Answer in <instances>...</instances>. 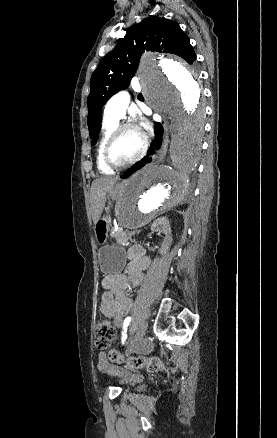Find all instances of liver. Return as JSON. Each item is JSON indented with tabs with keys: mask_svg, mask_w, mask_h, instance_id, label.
<instances>
[{
	"mask_svg": "<svg viewBox=\"0 0 277 438\" xmlns=\"http://www.w3.org/2000/svg\"><path fill=\"white\" fill-rule=\"evenodd\" d=\"M118 178H99V180H94L91 186V194H92V218L94 224L98 222L103 208L106 202V192H109L111 188H113L114 184H116Z\"/></svg>",
	"mask_w": 277,
	"mask_h": 438,
	"instance_id": "liver-1",
	"label": "liver"
}]
</instances>
